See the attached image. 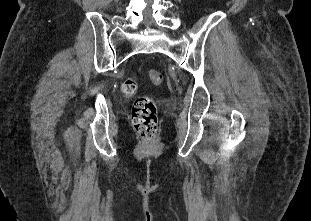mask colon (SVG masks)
I'll list each match as a JSON object with an SVG mask.
<instances>
[{
	"instance_id": "colon-1",
	"label": "colon",
	"mask_w": 311,
	"mask_h": 221,
	"mask_svg": "<svg viewBox=\"0 0 311 221\" xmlns=\"http://www.w3.org/2000/svg\"><path fill=\"white\" fill-rule=\"evenodd\" d=\"M139 70L125 78L121 84V91L125 97H132L138 90ZM154 85H161L163 76L159 71L149 72ZM132 123L134 129L143 137V141H156L157 130V105L150 96H140L136 98L132 107Z\"/></svg>"
}]
</instances>
